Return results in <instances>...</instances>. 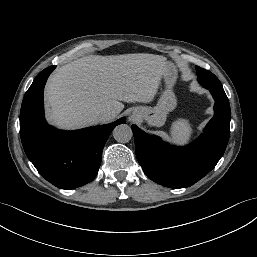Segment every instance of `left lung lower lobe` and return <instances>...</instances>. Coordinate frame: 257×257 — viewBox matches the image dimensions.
Wrapping results in <instances>:
<instances>
[{
    "label": "left lung lower lobe",
    "instance_id": "0a47b994",
    "mask_svg": "<svg viewBox=\"0 0 257 257\" xmlns=\"http://www.w3.org/2000/svg\"><path fill=\"white\" fill-rule=\"evenodd\" d=\"M215 99L213 118L204 134L183 148L164 144L132 125L136 156L145 174L170 188L189 187L210 172L222 157L230 134L231 111L223 89H209Z\"/></svg>",
    "mask_w": 257,
    "mask_h": 257
}]
</instances>
